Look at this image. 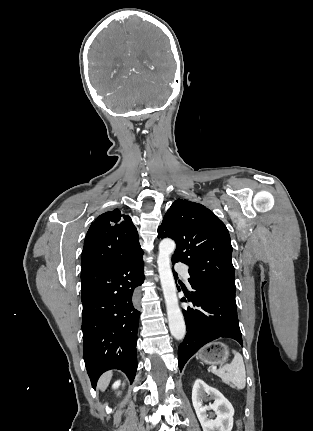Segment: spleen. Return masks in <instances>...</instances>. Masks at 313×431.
Instances as JSON below:
<instances>
[{"instance_id": "obj_1", "label": "spleen", "mask_w": 313, "mask_h": 431, "mask_svg": "<svg viewBox=\"0 0 313 431\" xmlns=\"http://www.w3.org/2000/svg\"><path fill=\"white\" fill-rule=\"evenodd\" d=\"M232 352L234 354V358L230 364H225L218 370L214 368H210V370L224 382H231L238 389H243L246 385V371L243 357L235 350Z\"/></svg>"}]
</instances>
